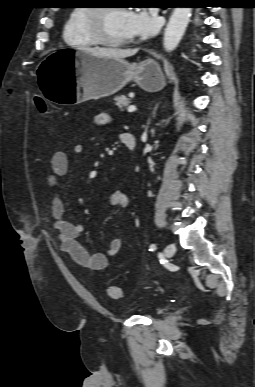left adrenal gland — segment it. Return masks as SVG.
<instances>
[{
	"label": "left adrenal gland",
	"mask_w": 255,
	"mask_h": 387,
	"mask_svg": "<svg viewBox=\"0 0 255 387\" xmlns=\"http://www.w3.org/2000/svg\"><path fill=\"white\" fill-rule=\"evenodd\" d=\"M158 106H159V103H157V104L155 105L154 109H153L152 115H153L154 118H155V116H156V111H157V109H158Z\"/></svg>",
	"instance_id": "a2214340"
}]
</instances>
